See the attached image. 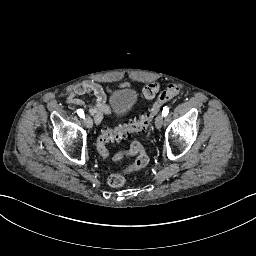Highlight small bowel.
Instances as JSON below:
<instances>
[{
	"mask_svg": "<svg viewBox=\"0 0 256 256\" xmlns=\"http://www.w3.org/2000/svg\"><path fill=\"white\" fill-rule=\"evenodd\" d=\"M127 83L118 85V88H127ZM159 84L152 82L143 89V96L146 99H153L159 92ZM110 91L102 87L94 81H84L75 85L66 98V103L73 106L84 107L85 102L82 99L84 95L92 94L95 101L89 104V112L94 117V120L99 124L105 116H110L113 110L107 104V95Z\"/></svg>",
	"mask_w": 256,
	"mask_h": 256,
	"instance_id": "c3829d8e",
	"label": "small bowel"
}]
</instances>
